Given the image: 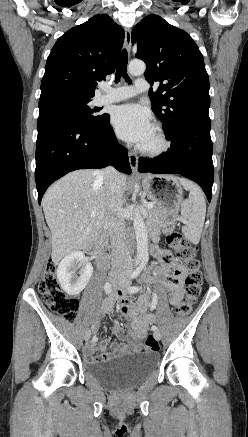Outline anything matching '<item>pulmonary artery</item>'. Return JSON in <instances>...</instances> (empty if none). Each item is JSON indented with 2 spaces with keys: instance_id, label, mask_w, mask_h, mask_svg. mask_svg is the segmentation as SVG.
I'll list each match as a JSON object with an SVG mask.
<instances>
[{
  "instance_id": "e3ab8cb5",
  "label": "pulmonary artery",
  "mask_w": 248,
  "mask_h": 437,
  "mask_svg": "<svg viewBox=\"0 0 248 437\" xmlns=\"http://www.w3.org/2000/svg\"><path fill=\"white\" fill-rule=\"evenodd\" d=\"M149 83L144 78H138L133 86H121L115 89L105 88V94L99 98L100 104L118 102L149 90Z\"/></svg>"
}]
</instances>
